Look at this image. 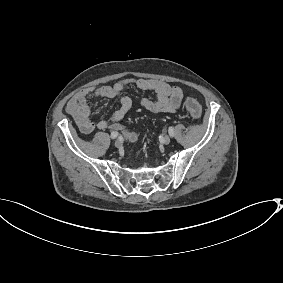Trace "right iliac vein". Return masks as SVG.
I'll list each match as a JSON object with an SVG mask.
<instances>
[{"mask_svg": "<svg viewBox=\"0 0 283 283\" xmlns=\"http://www.w3.org/2000/svg\"><path fill=\"white\" fill-rule=\"evenodd\" d=\"M122 142L120 141V140H116L115 141V147H117V148H121L122 147Z\"/></svg>", "mask_w": 283, "mask_h": 283, "instance_id": "obj_1", "label": "right iliac vein"}]
</instances>
